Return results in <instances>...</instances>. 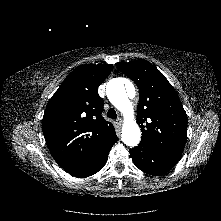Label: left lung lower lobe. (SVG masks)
Segmentation results:
<instances>
[{
    "label": "left lung lower lobe",
    "mask_w": 221,
    "mask_h": 221,
    "mask_svg": "<svg viewBox=\"0 0 221 221\" xmlns=\"http://www.w3.org/2000/svg\"><path fill=\"white\" fill-rule=\"evenodd\" d=\"M132 161L141 171L159 176L173 168L181 155L158 149L145 142L129 150Z\"/></svg>",
    "instance_id": "0a47b994"
}]
</instances>
